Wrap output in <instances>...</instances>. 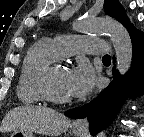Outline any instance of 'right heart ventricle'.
<instances>
[{
  "mask_svg": "<svg viewBox=\"0 0 144 137\" xmlns=\"http://www.w3.org/2000/svg\"><path fill=\"white\" fill-rule=\"evenodd\" d=\"M58 58L49 40H41L27 51L17 84V96L22 103L34 105L46 101L39 88L40 76Z\"/></svg>",
  "mask_w": 144,
  "mask_h": 137,
  "instance_id": "e07e8e85",
  "label": "right heart ventricle"
}]
</instances>
